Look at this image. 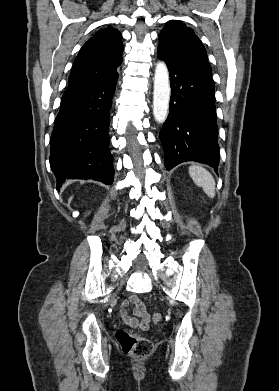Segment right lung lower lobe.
Returning a JSON list of instances; mask_svg holds the SVG:
<instances>
[{
  "instance_id": "1",
  "label": "right lung lower lobe",
  "mask_w": 279,
  "mask_h": 391,
  "mask_svg": "<svg viewBox=\"0 0 279 391\" xmlns=\"http://www.w3.org/2000/svg\"><path fill=\"white\" fill-rule=\"evenodd\" d=\"M117 80L118 73L63 94L50 141V166L57 188L68 178L112 184L108 127Z\"/></svg>"
}]
</instances>
